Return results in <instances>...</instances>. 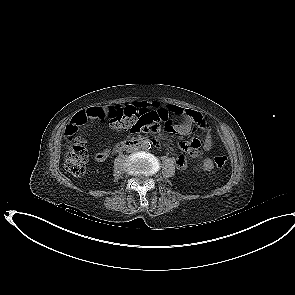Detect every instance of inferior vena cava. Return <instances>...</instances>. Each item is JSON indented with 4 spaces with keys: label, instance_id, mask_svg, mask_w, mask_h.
Here are the masks:
<instances>
[{
    "label": "inferior vena cava",
    "instance_id": "inferior-vena-cava-1",
    "mask_svg": "<svg viewBox=\"0 0 295 295\" xmlns=\"http://www.w3.org/2000/svg\"><path fill=\"white\" fill-rule=\"evenodd\" d=\"M136 150H138V147H136V146H130V147H128V149L126 151L128 153H130V152H133V151H136Z\"/></svg>",
    "mask_w": 295,
    "mask_h": 295
}]
</instances>
